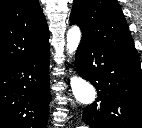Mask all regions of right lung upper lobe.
<instances>
[{
	"instance_id": "right-lung-upper-lobe-1",
	"label": "right lung upper lobe",
	"mask_w": 142,
	"mask_h": 128,
	"mask_svg": "<svg viewBox=\"0 0 142 128\" xmlns=\"http://www.w3.org/2000/svg\"><path fill=\"white\" fill-rule=\"evenodd\" d=\"M49 45L38 0H0V72Z\"/></svg>"
}]
</instances>
